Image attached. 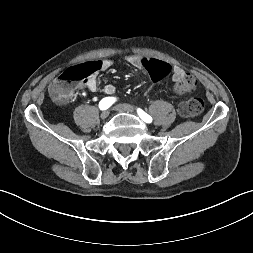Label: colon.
<instances>
[{"mask_svg":"<svg viewBox=\"0 0 253 253\" xmlns=\"http://www.w3.org/2000/svg\"><path fill=\"white\" fill-rule=\"evenodd\" d=\"M139 62H144V57L138 58ZM149 65V66H148ZM144 68L148 67V71L152 78L150 87L154 88L160 84V80L169 75L171 67L162 61L153 60L149 58L143 64ZM98 70L97 62H87L81 65L73 66L65 70L56 80L51 88V95L57 102H67L73 90L74 84L83 81L88 76L92 75ZM197 81L194 76L190 74H183L174 84V91L177 94H187L196 88ZM204 108L203 100L197 97L190 98L182 102L178 111L184 117H192L200 114Z\"/></svg>","mask_w":253,"mask_h":253,"instance_id":"5ec220e1","label":"colon"}]
</instances>
